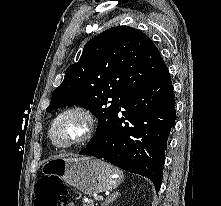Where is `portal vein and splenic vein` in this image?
Wrapping results in <instances>:
<instances>
[{"mask_svg": "<svg viewBox=\"0 0 221 206\" xmlns=\"http://www.w3.org/2000/svg\"><path fill=\"white\" fill-rule=\"evenodd\" d=\"M96 200H98V201L103 200V196H98V197L96 198Z\"/></svg>", "mask_w": 221, "mask_h": 206, "instance_id": "1", "label": "portal vein and splenic vein"}]
</instances>
